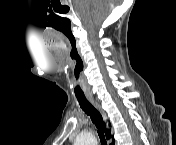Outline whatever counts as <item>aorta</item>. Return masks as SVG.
<instances>
[{"mask_svg":"<svg viewBox=\"0 0 176 145\" xmlns=\"http://www.w3.org/2000/svg\"><path fill=\"white\" fill-rule=\"evenodd\" d=\"M77 143H79V144H84L85 143L86 145H93V144H96L97 142L92 135L88 134L85 137L78 138Z\"/></svg>","mask_w":176,"mask_h":145,"instance_id":"obj_1","label":"aorta"}]
</instances>
